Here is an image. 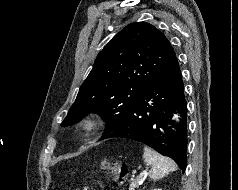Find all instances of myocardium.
<instances>
[{"label": "myocardium", "instance_id": "myocardium-1", "mask_svg": "<svg viewBox=\"0 0 238 190\" xmlns=\"http://www.w3.org/2000/svg\"><path fill=\"white\" fill-rule=\"evenodd\" d=\"M102 124V119L97 115H89L84 117L79 122V128L85 133L89 134L98 129Z\"/></svg>", "mask_w": 238, "mask_h": 190}]
</instances>
